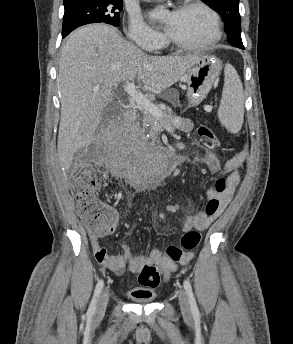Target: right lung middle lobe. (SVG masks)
Instances as JSON below:
<instances>
[{"instance_id": "obj_1", "label": "right lung middle lobe", "mask_w": 293, "mask_h": 344, "mask_svg": "<svg viewBox=\"0 0 293 344\" xmlns=\"http://www.w3.org/2000/svg\"><path fill=\"white\" fill-rule=\"evenodd\" d=\"M62 37L85 24L107 23L118 27L122 0H78L64 4Z\"/></svg>"}]
</instances>
